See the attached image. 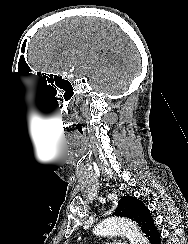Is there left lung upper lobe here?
Here are the masks:
<instances>
[{
  "mask_svg": "<svg viewBox=\"0 0 188 244\" xmlns=\"http://www.w3.org/2000/svg\"><path fill=\"white\" fill-rule=\"evenodd\" d=\"M147 213H150V211L145 204L141 200L132 196H123L118 202V207L115 211L116 215L130 218L140 227Z\"/></svg>",
  "mask_w": 188,
  "mask_h": 244,
  "instance_id": "left-lung-upper-lobe-1",
  "label": "left lung upper lobe"
}]
</instances>
